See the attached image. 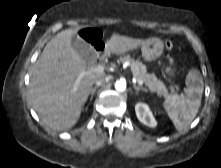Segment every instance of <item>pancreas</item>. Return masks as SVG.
Here are the masks:
<instances>
[{"label":"pancreas","mask_w":221,"mask_h":168,"mask_svg":"<svg viewBox=\"0 0 221 168\" xmlns=\"http://www.w3.org/2000/svg\"><path fill=\"white\" fill-rule=\"evenodd\" d=\"M119 62L131 64V71L133 76L138 80H142L145 86L151 91L155 92L158 96L167 97L168 90L164 83L156 77L155 74L147 73V67L140 61L132 59L130 56H122Z\"/></svg>","instance_id":"pancreas-1"}]
</instances>
